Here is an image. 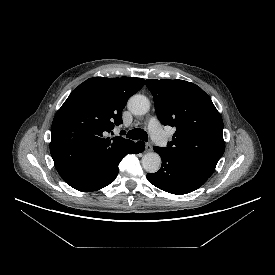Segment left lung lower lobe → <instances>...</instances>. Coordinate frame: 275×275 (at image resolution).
<instances>
[{"label": "left lung lower lobe", "instance_id": "0a47b994", "mask_svg": "<svg viewBox=\"0 0 275 275\" xmlns=\"http://www.w3.org/2000/svg\"><path fill=\"white\" fill-rule=\"evenodd\" d=\"M162 165L158 172L148 173V181L171 194L183 195L201 187L210 177L196 167L172 155L166 148L154 147Z\"/></svg>", "mask_w": 275, "mask_h": 275}]
</instances>
